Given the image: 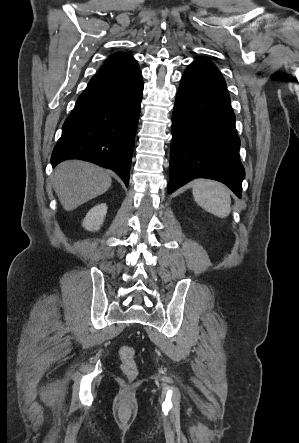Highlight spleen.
<instances>
[{
  "mask_svg": "<svg viewBox=\"0 0 299 443\" xmlns=\"http://www.w3.org/2000/svg\"><path fill=\"white\" fill-rule=\"evenodd\" d=\"M193 196L197 204L218 217H226L230 213L229 191L218 182L196 181L193 186Z\"/></svg>",
  "mask_w": 299,
  "mask_h": 443,
  "instance_id": "3e777b00",
  "label": "spleen"
}]
</instances>
